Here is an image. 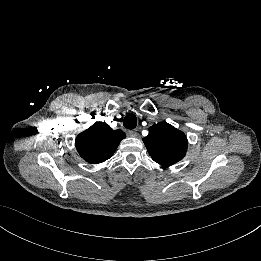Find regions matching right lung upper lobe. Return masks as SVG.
Instances as JSON below:
<instances>
[{"label": "right lung upper lobe", "instance_id": "obj_1", "mask_svg": "<svg viewBox=\"0 0 261 261\" xmlns=\"http://www.w3.org/2000/svg\"><path fill=\"white\" fill-rule=\"evenodd\" d=\"M125 137L122 130H113L106 123L96 122L77 136L75 146L85 161L98 164L109 159Z\"/></svg>", "mask_w": 261, "mask_h": 261}]
</instances>
